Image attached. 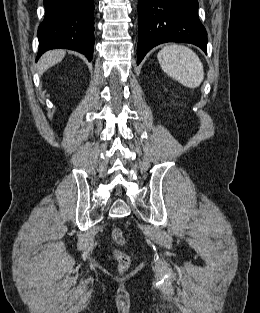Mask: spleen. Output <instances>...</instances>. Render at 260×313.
<instances>
[{
  "mask_svg": "<svg viewBox=\"0 0 260 313\" xmlns=\"http://www.w3.org/2000/svg\"><path fill=\"white\" fill-rule=\"evenodd\" d=\"M163 71L187 88L198 87L204 79L203 64L196 53L183 45H167L157 55Z\"/></svg>",
  "mask_w": 260,
  "mask_h": 313,
  "instance_id": "obj_1",
  "label": "spleen"
}]
</instances>
